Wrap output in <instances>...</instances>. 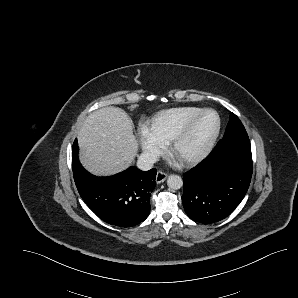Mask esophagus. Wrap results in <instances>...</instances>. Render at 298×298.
<instances>
[{"label": "esophagus", "mask_w": 298, "mask_h": 298, "mask_svg": "<svg viewBox=\"0 0 298 298\" xmlns=\"http://www.w3.org/2000/svg\"><path fill=\"white\" fill-rule=\"evenodd\" d=\"M167 178V174L162 171H158L156 175V183H162Z\"/></svg>", "instance_id": "34e87169"}]
</instances>
